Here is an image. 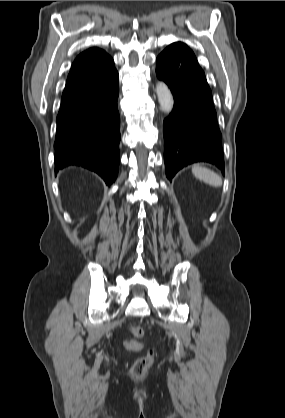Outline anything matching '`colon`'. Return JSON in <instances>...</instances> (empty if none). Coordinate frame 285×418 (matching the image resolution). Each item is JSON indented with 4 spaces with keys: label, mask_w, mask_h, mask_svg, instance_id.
Returning <instances> with one entry per match:
<instances>
[{
    "label": "colon",
    "mask_w": 285,
    "mask_h": 418,
    "mask_svg": "<svg viewBox=\"0 0 285 418\" xmlns=\"http://www.w3.org/2000/svg\"><path fill=\"white\" fill-rule=\"evenodd\" d=\"M130 333L135 338H140L143 335V330L142 328L138 326H132L130 327ZM153 360H154V352L152 349H148L145 355L138 358L132 365V368H131L132 375L136 377L144 376L147 373L150 366L152 365Z\"/></svg>",
    "instance_id": "obj_1"
}]
</instances>
